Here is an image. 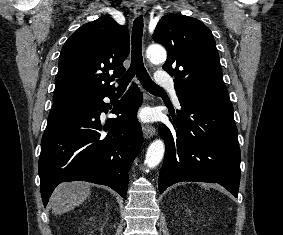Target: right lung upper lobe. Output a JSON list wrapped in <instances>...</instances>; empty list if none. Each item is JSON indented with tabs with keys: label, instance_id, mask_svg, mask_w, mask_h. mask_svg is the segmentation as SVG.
Masks as SVG:
<instances>
[{
	"label": "right lung upper lobe",
	"instance_id": "right-lung-upper-lobe-1",
	"mask_svg": "<svg viewBox=\"0 0 283 235\" xmlns=\"http://www.w3.org/2000/svg\"><path fill=\"white\" fill-rule=\"evenodd\" d=\"M128 54L129 32L125 26L107 15L84 24L61 50L53 102L87 100L113 92L110 82L125 72L123 61Z\"/></svg>",
	"mask_w": 283,
	"mask_h": 235
}]
</instances>
